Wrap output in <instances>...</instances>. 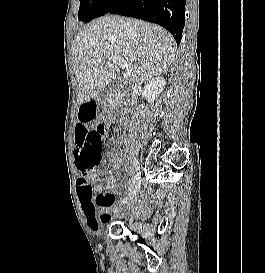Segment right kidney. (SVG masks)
Returning a JSON list of instances; mask_svg holds the SVG:
<instances>
[{"label":"right kidney","instance_id":"1","mask_svg":"<svg viewBox=\"0 0 265 273\" xmlns=\"http://www.w3.org/2000/svg\"><path fill=\"white\" fill-rule=\"evenodd\" d=\"M165 84V79H163L162 77H158L152 79L144 86L143 94L151 105L158 97V95L163 91Z\"/></svg>","mask_w":265,"mask_h":273}]
</instances>
